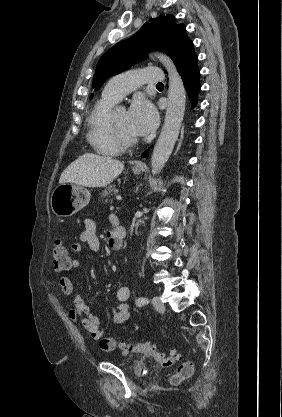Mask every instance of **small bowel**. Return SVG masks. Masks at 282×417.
<instances>
[{"instance_id": "c3829d8e", "label": "small bowel", "mask_w": 282, "mask_h": 417, "mask_svg": "<svg viewBox=\"0 0 282 417\" xmlns=\"http://www.w3.org/2000/svg\"><path fill=\"white\" fill-rule=\"evenodd\" d=\"M109 220L112 225V229L108 232V242L113 248V244H115V246L117 245L114 235L117 227L120 226V223L115 214H109ZM83 245H87V247L94 253H98L101 250L100 238L96 234V223L91 218L83 219V229L79 234V242L73 244L72 246L73 253L76 255L81 254ZM71 268L75 270L80 269V260H72ZM59 286L63 296H70L73 293V283L69 277L61 276L59 278ZM129 297V287L119 286L116 289L115 298L118 306L111 313V322L113 324L122 325L129 320L130 312L127 304ZM68 317L74 323H78L86 329L90 333L93 340L107 339L103 322L90 310L85 299L80 294H76L74 296V307L68 310Z\"/></svg>"}]
</instances>
